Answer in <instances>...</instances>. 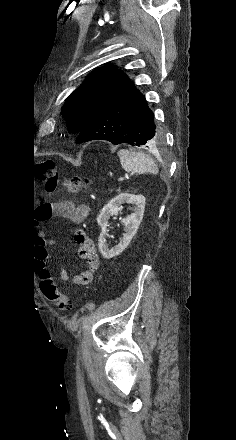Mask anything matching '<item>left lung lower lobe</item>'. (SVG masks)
<instances>
[{"mask_svg": "<svg viewBox=\"0 0 236 440\" xmlns=\"http://www.w3.org/2000/svg\"><path fill=\"white\" fill-rule=\"evenodd\" d=\"M91 140L151 147L161 143L162 132L144 96L131 85L86 125L76 143Z\"/></svg>", "mask_w": 236, "mask_h": 440, "instance_id": "0a47b994", "label": "left lung lower lobe"}]
</instances>
